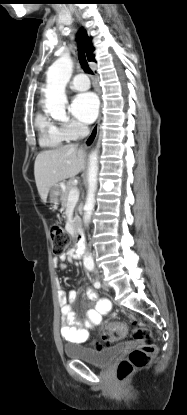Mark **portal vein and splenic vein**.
I'll return each instance as SVG.
<instances>
[{"mask_svg": "<svg viewBox=\"0 0 187 415\" xmlns=\"http://www.w3.org/2000/svg\"><path fill=\"white\" fill-rule=\"evenodd\" d=\"M79 199V190L78 188H73L68 197V204H76Z\"/></svg>", "mask_w": 187, "mask_h": 415, "instance_id": "obj_1", "label": "portal vein and splenic vein"}]
</instances>
